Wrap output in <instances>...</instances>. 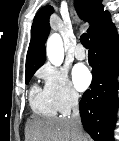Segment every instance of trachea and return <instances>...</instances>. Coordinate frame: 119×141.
Masks as SVG:
<instances>
[{
	"label": "trachea",
	"instance_id": "3493384b",
	"mask_svg": "<svg viewBox=\"0 0 119 141\" xmlns=\"http://www.w3.org/2000/svg\"><path fill=\"white\" fill-rule=\"evenodd\" d=\"M80 41L85 48H90V41L88 35L86 33L82 34L80 37Z\"/></svg>",
	"mask_w": 119,
	"mask_h": 141
}]
</instances>
